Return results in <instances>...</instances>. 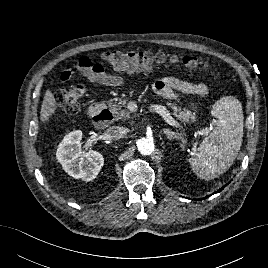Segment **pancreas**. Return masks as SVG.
<instances>
[{
	"mask_svg": "<svg viewBox=\"0 0 268 268\" xmlns=\"http://www.w3.org/2000/svg\"><path fill=\"white\" fill-rule=\"evenodd\" d=\"M171 109L173 110L172 114L182 121L183 123L196 122L197 116L196 113H192L186 108H181L176 106L175 103H169ZM108 106L115 117V119H129L131 118V112L127 108V100L119 99L116 101H111L108 103Z\"/></svg>",
	"mask_w": 268,
	"mask_h": 268,
	"instance_id": "pancreas-1",
	"label": "pancreas"
}]
</instances>
